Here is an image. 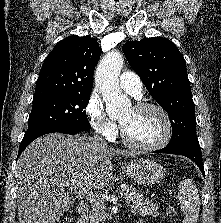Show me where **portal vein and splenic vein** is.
<instances>
[{
    "label": "portal vein and splenic vein",
    "mask_w": 221,
    "mask_h": 223,
    "mask_svg": "<svg viewBox=\"0 0 221 223\" xmlns=\"http://www.w3.org/2000/svg\"><path fill=\"white\" fill-rule=\"evenodd\" d=\"M76 193L80 196L86 197L88 200L93 202L94 204H99L101 202L100 198L93 194V192L85 189V188H80L76 191ZM127 192L125 190L121 191V195H125Z\"/></svg>",
    "instance_id": "portal-vein-and-splenic-vein-1"
}]
</instances>
